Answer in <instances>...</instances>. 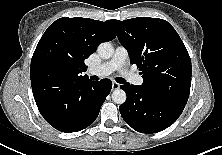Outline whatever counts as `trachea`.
<instances>
[{"mask_svg": "<svg viewBox=\"0 0 222 155\" xmlns=\"http://www.w3.org/2000/svg\"><path fill=\"white\" fill-rule=\"evenodd\" d=\"M116 81H117L118 83H125V82H126V80H125L124 78H121V77L116 78Z\"/></svg>", "mask_w": 222, "mask_h": 155, "instance_id": "3493384b", "label": "trachea"}]
</instances>
